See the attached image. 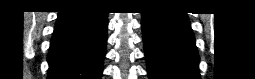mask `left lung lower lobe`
Listing matches in <instances>:
<instances>
[{"instance_id": "left-lung-lower-lobe-1", "label": "left lung lower lobe", "mask_w": 255, "mask_h": 79, "mask_svg": "<svg viewBox=\"0 0 255 79\" xmlns=\"http://www.w3.org/2000/svg\"><path fill=\"white\" fill-rule=\"evenodd\" d=\"M149 79H199V56L185 13H142Z\"/></svg>"}]
</instances>
